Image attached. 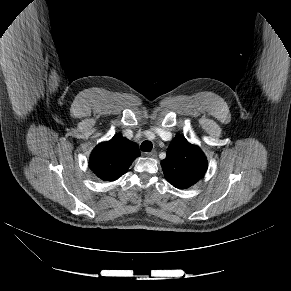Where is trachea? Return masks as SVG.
Returning a JSON list of instances; mask_svg holds the SVG:
<instances>
[{"mask_svg":"<svg viewBox=\"0 0 291 291\" xmlns=\"http://www.w3.org/2000/svg\"><path fill=\"white\" fill-rule=\"evenodd\" d=\"M141 150L144 152H150L153 148V145L150 141H143L141 146H140Z\"/></svg>","mask_w":291,"mask_h":291,"instance_id":"3493384b","label":"trachea"}]
</instances>
